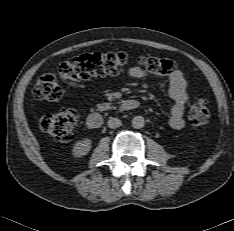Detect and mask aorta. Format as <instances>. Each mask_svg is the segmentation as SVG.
Segmentation results:
<instances>
[{
	"label": "aorta",
	"mask_w": 234,
	"mask_h": 231,
	"mask_svg": "<svg viewBox=\"0 0 234 231\" xmlns=\"http://www.w3.org/2000/svg\"><path fill=\"white\" fill-rule=\"evenodd\" d=\"M145 124V120L142 116H135L132 119V127L135 129L143 128Z\"/></svg>",
	"instance_id": "1"
}]
</instances>
